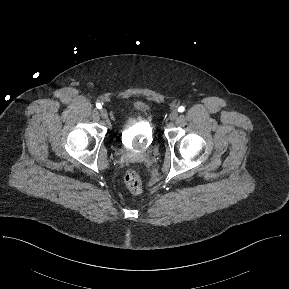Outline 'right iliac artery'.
<instances>
[{
	"label": "right iliac artery",
	"mask_w": 289,
	"mask_h": 289,
	"mask_svg": "<svg viewBox=\"0 0 289 289\" xmlns=\"http://www.w3.org/2000/svg\"><path fill=\"white\" fill-rule=\"evenodd\" d=\"M96 107H97L98 109H102V104H101V103H97V104H96Z\"/></svg>",
	"instance_id": "1"
}]
</instances>
